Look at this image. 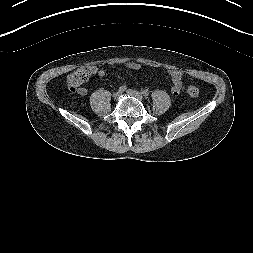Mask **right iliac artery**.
Listing matches in <instances>:
<instances>
[{"instance_id":"right-iliac-artery-1","label":"right iliac artery","mask_w":253,"mask_h":253,"mask_svg":"<svg viewBox=\"0 0 253 253\" xmlns=\"http://www.w3.org/2000/svg\"><path fill=\"white\" fill-rule=\"evenodd\" d=\"M126 89H127L126 85H122V86L119 87V90H118V91H119L120 93H122V92H124Z\"/></svg>"}]
</instances>
